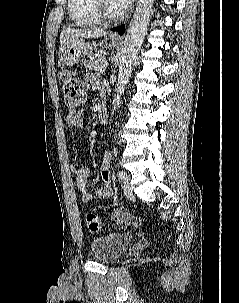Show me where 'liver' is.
Returning <instances> with one entry per match:
<instances>
[{
    "instance_id": "1",
    "label": "liver",
    "mask_w": 239,
    "mask_h": 303,
    "mask_svg": "<svg viewBox=\"0 0 239 303\" xmlns=\"http://www.w3.org/2000/svg\"><path fill=\"white\" fill-rule=\"evenodd\" d=\"M107 32L104 29L100 28H91V29H64L61 32V47L67 45L68 43L84 38H97L105 36Z\"/></svg>"
}]
</instances>
